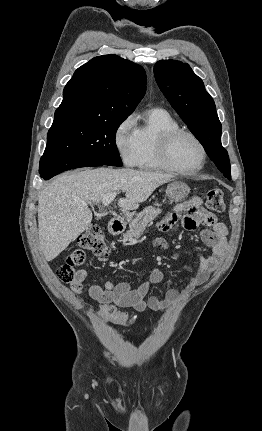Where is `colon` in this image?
Masks as SVG:
<instances>
[{
  "label": "colon",
  "instance_id": "colon-1",
  "mask_svg": "<svg viewBox=\"0 0 262 431\" xmlns=\"http://www.w3.org/2000/svg\"><path fill=\"white\" fill-rule=\"evenodd\" d=\"M205 203L207 207L215 212H222L225 208L224 195L219 187H212L206 194ZM83 250L89 251L95 256L103 257L109 252L108 246L103 240L101 229L93 224L77 239V246L68 254L64 264L57 270L58 278L65 284L80 282L83 278ZM111 319L117 325H127L131 319L127 315L118 312H110L103 315Z\"/></svg>",
  "mask_w": 262,
  "mask_h": 431
}]
</instances>
